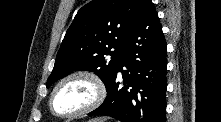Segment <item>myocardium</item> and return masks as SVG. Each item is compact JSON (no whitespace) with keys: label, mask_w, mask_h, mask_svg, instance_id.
Listing matches in <instances>:
<instances>
[{"label":"myocardium","mask_w":221,"mask_h":122,"mask_svg":"<svg viewBox=\"0 0 221 122\" xmlns=\"http://www.w3.org/2000/svg\"><path fill=\"white\" fill-rule=\"evenodd\" d=\"M74 79H85L89 81L94 88V97L92 101L86 107H84L83 109L77 112L67 113V114L59 113L56 111L54 104H53L54 96L62 85ZM106 93L107 91H106L105 83L103 82V80L100 78L99 75L89 70L73 71L65 75L64 77H62L53 87L50 97H49V108L55 116L60 117V118L80 117L97 109L104 102L106 98Z\"/></svg>","instance_id":"f54148a6"}]
</instances>
